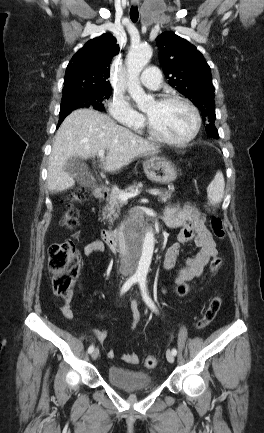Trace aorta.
I'll list each match as a JSON object with an SVG mask.
<instances>
[{
	"mask_svg": "<svg viewBox=\"0 0 264 433\" xmlns=\"http://www.w3.org/2000/svg\"><path fill=\"white\" fill-rule=\"evenodd\" d=\"M151 57V47L149 45H139L131 48L126 58L128 73L127 89L131 98L136 102L139 108H144L153 101L151 96L146 95L138 81L140 72ZM154 245V234L151 230H148L138 252V263L135 271L137 278H146L153 256Z\"/></svg>",
	"mask_w": 264,
	"mask_h": 433,
	"instance_id": "1",
	"label": "aorta"
}]
</instances>
